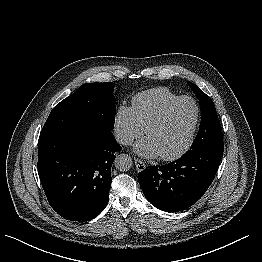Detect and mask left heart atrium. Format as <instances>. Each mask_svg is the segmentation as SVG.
I'll use <instances>...</instances> for the list:
<instances>
[{
	"label": "left heart atrium",
	"instance_id": "left-heart-atrium-1",
	"mask_svg": "<svg viewBox=\"0 0 262 262\" xmlns=\"http://www.w3.org/2000/svg\"><path fill=\"white\" fill-rule=\"evenodd\" d=\"M134 151L145 158H155L160 155L155 142L147 136L134 145Z\"/></svg>",
	"mask_w": 262,
	"mask_h": 262
}]
</instances>
